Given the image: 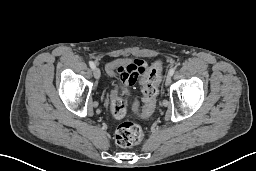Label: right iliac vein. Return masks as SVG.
I'll list each match as a JSON object with an SVG mask.
<instances>
[{
	"label": "right iliac vein",
	"mask_w": 256,
	"mask_h": 171,
	"mask_svg": "<svg viewBox=\"0 0 256 171\" xmlns=\"http://www.w3.org/2000/svg\"><path fill=\"white\" fill-rule=\"evenodd\" d=\"M94 77H95L97 80L100 79V77H101V71H100L99 68H95V69H94Z\"/></svg>",
	"instance_id": "63e3f726"
}]
</instances>
